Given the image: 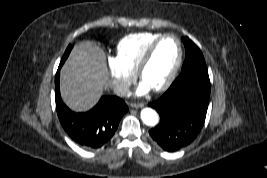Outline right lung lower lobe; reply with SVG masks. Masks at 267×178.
<instances>
[{"label":"right lung lower lobe","mask_w":267,"mask_h":178,"mask_svg":"<svg viewBox=\"0 0 267 178\" xmlns=\"http://www.w3.org/2000/svg\"><path fill=\"white\" fill-rule=\"evenodd\" d=\"M60 63L55 77L56 110L68 136L79 146L98 149L109 142L122 116L128 111L125 102L117 96H102L91 110L76 113L62 101L59 89Z\"/></svg>","instance_id":"98d812e1"}]
</instances>
